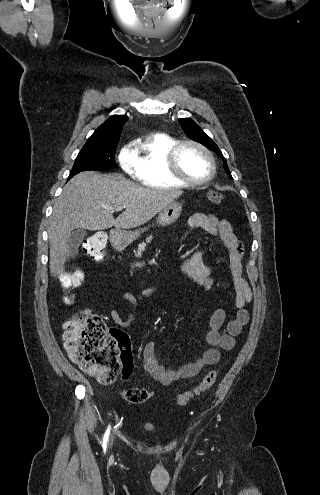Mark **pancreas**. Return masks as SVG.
<instances>
[{
  "label": "pancreas",
  "instance_id": "cf45deb5",
  "mask_svg": "<svg viewBox=\"0 0 320 495\" xmlns=\"http://www.w3.org/2000/svg\"><path fill=\"white\" fill-rule=\"evenodd\" d=\"M151 240H152V236L148 237L146 239V242L149 243ZM145 247H146V243L139 244L136 256H141V253L145 250Z\"/></svg>",
  "mask_w": 320,
  "mask_h": 495
}]
</instances>
